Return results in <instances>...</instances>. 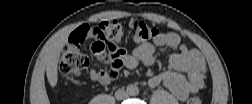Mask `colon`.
I'll list each match as a JSON object with an SVG mask.
<instances>
[{"label":"colon","instance_id":"obj_1","mask_svg":"<svg viewBox=\"0 0 252 104\" xmlns=\"http://www.w3.org/2000/svg\"><path fill=\"white\" fill-rule=\"evenodd\" d=\"M160 35L159 30L144 21L134 20L127 26L119 21H107L91 26L83 24L71 35L69 43L61 53L58 69L67 79L79 77L88 66V58L82 52L85 41L94 40L95 53L106 65V74L115 79L118 76L124 56L123 45L130 38L135 43H146L156 40ZM200 96L193 95L190 103L198 104Z\"/></svg>","mask_w":252,"mask_h":104}]
</instances>
